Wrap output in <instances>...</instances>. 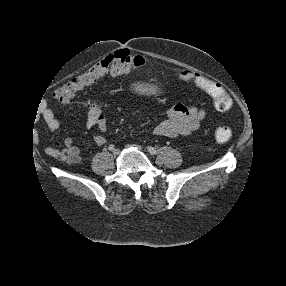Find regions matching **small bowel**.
<instances>
[{
  "instance_id": "small-bowel-1",
  "label": "small bowel",
  "mask_w": 286,
  "mask_h": 286,
  "mask_svg": "<svg viewBox=\"0 0 286 286\" xmlns=\"http://www.w3.org/2000/svg\"><path fill=\"white\" fill-rule=\"evenodd\" d=\"M205 115L206 111L203 107L176 105L167 111L166 119L154 128V134L160 137L190 136L200 128ZM43 119L50 132L56 130L60 125L59 118L51 109H46L43 112ZM86 125L98 130L93 138L94 143L98 146L105 144L107 119L97 105L88 106ZM64 145L69 151V160L74 163L79 162L81 160L80 150L75 146L73 140L66 138ZM55 153V150H49V154L55 155Z\"/></svg>"
}]
</instances>
